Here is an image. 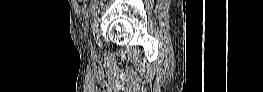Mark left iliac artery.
<instances>
[{"label": "left iliac artery", "mask_w": 263, "mask_h": 92, "mask_svg": "<svg viewBox=\"0 0 263 92\" xmlns=\"http://www.w3.org/2000/svg\"><path fill=\"white\" fill-rule=\"evenodd\" d=\"M89 44H91V40L88 39Z\"/></svg>", "instance_id": "1"}]
</instances>
